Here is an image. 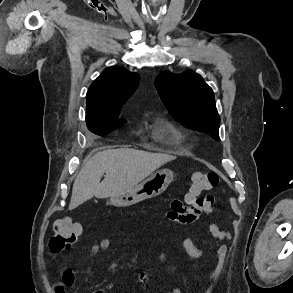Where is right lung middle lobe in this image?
I'll use <instances>...</instances> for the list:
<instances>
[{
    "label": "right lung middle lobe",
    "instance_id": "obj_1",
    "mask_svg": "<svg viewBox=\"0 0 293 293\" xmlns=\"http://www.w3.org/2000/svg\"><path fill=\"white\" fill-rule=\"evenodd\" d=\"M119 114L120 111L109 115L86 117L87 127L97 135L110 133L127 122L119 118Z\"/></svg>",
    "mask_w": 293,
    "mask_h": 293
}]
</instances>
